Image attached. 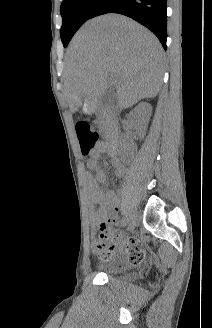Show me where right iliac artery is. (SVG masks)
<instances>
[{
  "label": "right iliac artery",
  "instance_id": "obj_1",
  "mask_svg": "<svg viewBox=\"0 0 212 328\" xmlns=\"http://www.w3.org/2000/svg\"><path fill=\"white\" fill-rule=\"evenodd\" d=\"M129 222V218L127 215H125L123 218H122V221H121V224L122 226H126Z\"/></svg>",
  "mask_w": 212,
  "mask_h": 328
}]
</instances>
